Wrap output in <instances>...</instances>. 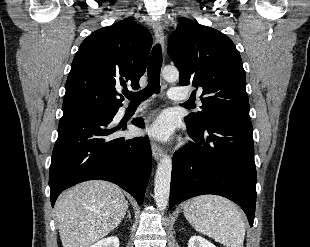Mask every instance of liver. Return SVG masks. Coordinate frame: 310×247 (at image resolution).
Listing matches in <instances>:
<instances>
[{
    "label": "liver",
    "instance_id": "1",
    "mask_svg": "<svg viewBox=\"0 0 310 247\" xmlns=\"http://www.w3.org/2000/svg\"><path fill=\"white\" fill-rule=\"evenodd\" d=\"M127 208L115 184L92 180L73 186L55 204L63 247H90L121 223Z\"/></svg>",
    "mask_w": 310,
    "mask_h": 247
}]
</instances>
